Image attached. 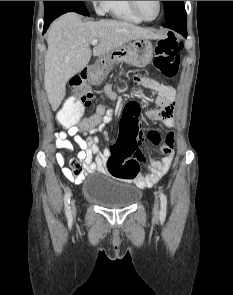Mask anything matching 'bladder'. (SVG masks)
I'll use <instances>...</instances> for the list:
<instances>
[{"label": "bladder", "instance_id": "1", "mask_svg": "<svg viewBox=\"0 0 233 295\" xmlns=\"http://www.w3.org/2000/svg\"><path fill=\"white\" fill-rule=\"evenodd\" d=\"M86 200L106 208H127L136 204L142 191L126 181L104 175H92L83 184Z\"/></svg>", "mask_w": 233, "mask_h": 295}]
</instances>
